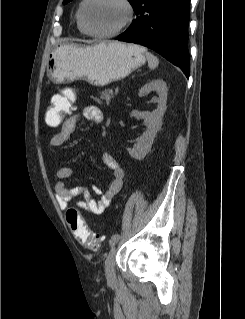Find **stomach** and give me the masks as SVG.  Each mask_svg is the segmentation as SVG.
<instances>
[{
  "label": "stomach",
  "instance_id": "obj_1",
  "mask_svg": "<svg viewBox=\"0 0 245 319\" xmlns=\"http://www.w3.org/2000/svg\"><path fill=\"white\" fill-rule=\"evenodd\" d=\"M145 62V49L135 44H64L51 53L47 77L55 84L83 79L93 85L104 86L126 77Z\"/></svg>",
  "mask_w": 245,
  "mask_h": 319
}]
</instances>
